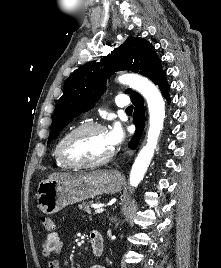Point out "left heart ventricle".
<instances>
[{"label": "left heart ventricle", "instance_id": "b2bd125f", "mask_svg": "<svg viewBox=\"0 0 221 268\" xmlns=\"http://www.w3.org/2000/svg\"><path fill=\"white\" fill-rule=\"evenodd\" d=\"M112 151L104 130H88L74 136L66 146L67 154L78 160L100 159Z\"/></svg>", "mask_w": 221, "mask_h": 268}]
</instances>
